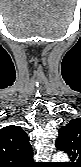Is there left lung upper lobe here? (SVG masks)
Masks as SVG:
<instances>
[{"label":"left lung upper lobe","instance_id":"5c2ea615","mask_svg":"<svg viewBox=\"0 0 81 167\" xmlns=\"http://www.w3.org/2000/svg\"><path fill=\"white\" fill-rule=\"evenodd\" d=\"M56 147L66 152L71 162L69 167H78L81 160V119H72L59 129Z\"/></svg>","mask_w":81,"mask_h":167}]
</instances>
